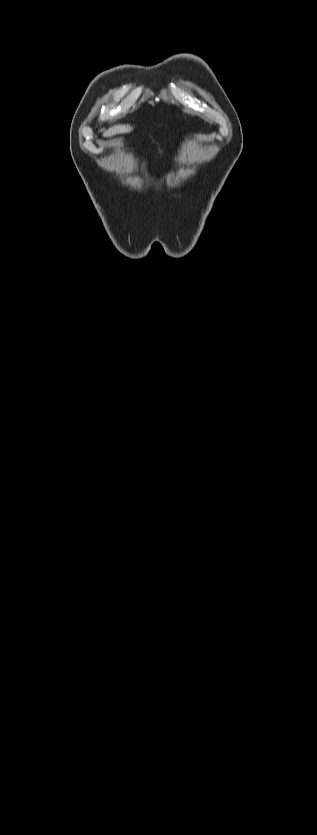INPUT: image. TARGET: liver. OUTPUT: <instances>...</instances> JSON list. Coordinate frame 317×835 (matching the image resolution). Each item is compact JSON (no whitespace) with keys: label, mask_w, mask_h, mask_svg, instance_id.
Listing matches in <instances>:
<instances>
[{"label":"liver","mask_w":317,"mask_h":835,"mask_svg":"<svg viewBox=\"0 0 317 835\" xmlns=\"http://www.w3.org/2000/svg\"><path fill=\"white\" fill-rule=\"evenodd\" d=\"M133 130V127L129 125H116L109 128L106 132H104V137H111L116 134L127 133Z\"/></svg>","instance_id":"liver-1"}]
</instances>
